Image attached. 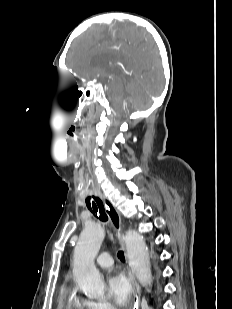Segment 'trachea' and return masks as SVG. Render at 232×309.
<instances>
[{
	"instance_id": "trachea-1",
	"label": "trachea",
	"mask_w": 232,
	"mask_h": 309,
	"mask_svg": "<svg viewBox=\"0 0 232 309\" xmlns=\"http://www.w3.org/2000/svg\"><path fill=\"white\" fill-rule=\"evenodd\" d=\"M69 136L74 140V142L80 146L79 136L73 131H68ZM86 205L88 209L93 213L94 216L99 217L103 222L108 220V216L105 212L103 202L99 197H97L92 190L88 189V197L86 198ZM121 261H125V256L123 251H119L117 254Z\"/></svg>"
}]
</instances>
